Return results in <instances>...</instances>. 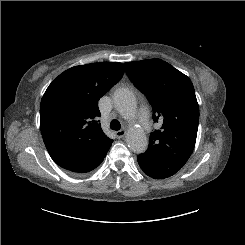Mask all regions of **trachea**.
I'll return each instance as SVG.
<instances>
[{"instance_id": "obj_1", "label": "trachea", "mask_w": 245, "mask_h": 245, "mask_svg": "<svg viewBox=\"0 0 245 245\" xmlns=\"http://www.w3.org/2000/svg\"><path fill=\"white\" fill-rule=\"evenodd\" d=\"M110 127L112 130L118 131L121 128V124L118 120L114 119L111 121Z\"/></svg>"}]
</instances>
